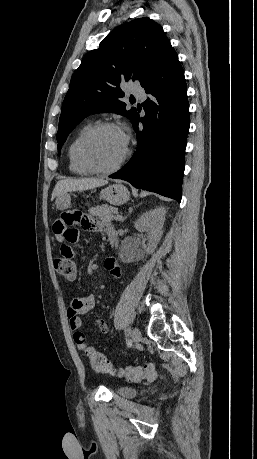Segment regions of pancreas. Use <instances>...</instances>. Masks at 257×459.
<instances>
[{
	"label": "pancreas",
	"instance_id": "1",
	"mask_svg": "<svg viewBox=\"0 0 257 459\" xmlns=\"http://www.w3.org/2000/svg\"><path fill=\"white\" fill-rule=\"evenodd\" d=\"M89 213L92 216L99 218L102 221L110 222L114 218V214H117L118 211L116 208L109 206L107 204L97 205L89 209Z\"/></svg>",
	"mask_w": 257,
	"mask_h": 459
}]
</instances>
